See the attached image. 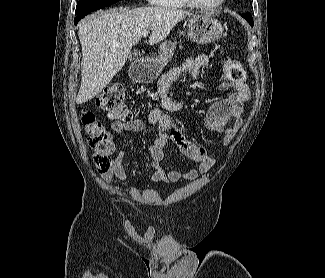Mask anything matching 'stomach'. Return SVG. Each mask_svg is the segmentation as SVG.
I'll list each match as a JSON object with an SVG mask.
<instances>
[{
	"label": "stomach",
	"instance_id": "stomach-1",
	"mask_svg": "<svg viewBox=\"0 0 325 278\" xmlns=\"http://www.w3.org/2000/svg\"><path fill=\"white\" fill-rule=\"evenodd\" d=\"M188 38L199 44L217 41L223 35L221 23L209 14L194 15L188 20ZM175 44L166 40L160 45L158 57L134 68L131 78L138 83H152L173 54Z\"/></svg>",
	"mask_w": 325,
	"mask_h": 278
}]
</instances>
